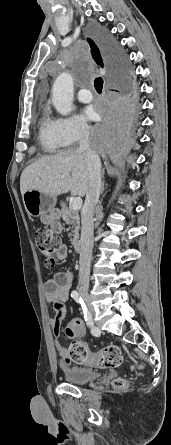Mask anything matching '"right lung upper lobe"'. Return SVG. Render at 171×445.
I'll use <instances>...</instances> for the list:
<instances>
[{"label":"right lung upper lobe","instance_id":"right-lung-upper-lobe-1","mask_svg":"<svg viewBox=\"0 0 171 445\" xmlns=\"http://www.w3.org/2000/svg\"><path fill=\"white\" fill-rule=\"evenodd\" d=\"M89 45L91 47V54L93 59L95 60V62L100 65L101 67H103V61H105V63L107 64V66L110 69L111 75H112V79L113 81H115L116 79V73L114 71V69L111 67L105 52L101 46V44H98V46L94 43V41H92L91 39H88ZM114 83V82H113Z\"/></svg>","mask_w":171,"mask_h":445}]
</instances>
